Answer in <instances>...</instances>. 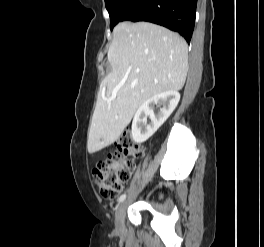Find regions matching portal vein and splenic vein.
Instances as JSON below:
<instances>
[{
	"mask_svg": "<svg viewBox=\"0 0 264 247\" xmlns=\"http://www.w3.org/2000/svg\"><path fill=\"white\" fill-rule=\"evenodd\" d=\"M114 99H116V95L115 94L111 96V100H114Z\"/></svg>",
	"mask_w": 264,
	"mask_h": 247,
	"instance_id": "portal-vein-and-splenic-vein-1",
	"label": "portal vein and splenic vein"
}]
</instances>
